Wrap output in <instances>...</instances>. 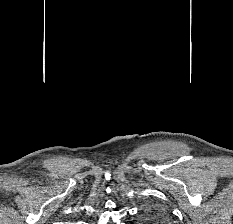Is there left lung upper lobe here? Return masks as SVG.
<instances>
[{"label":"left lung upper lobe","mask_w":233,"mask_h":224,"mask_svg":"<svg viewBox=\"0 0 233 224\" xmlns=\"http://www.w3.org/2000/svg\"><path fill=\"white\" fill-rule=\"evenodd\" d=\"M143 219L148 224H168L171 222L167 210L155 204L145 206Z\"/></svg>","instance_id":"left-lung-upper-lobe-1"}]
</instances>
